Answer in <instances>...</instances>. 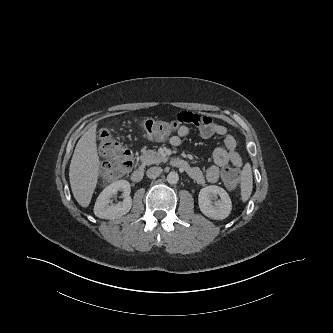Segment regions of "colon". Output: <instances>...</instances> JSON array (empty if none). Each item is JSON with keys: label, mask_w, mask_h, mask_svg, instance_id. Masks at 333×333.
Here are the masks:
<instances>
[{"label": "colon", "mask_w": 333, "mask_h": 333, "mask_svg": "<svg viewBox=\"0 0 333 333\" xmlns=\"http://www.w3.org/2000/svg\"><path fill=\"white\" fill-rule=\"evenodd\" d=\"M141 128L149 138L160 140L169 137L176 130L177 123L146 119L141 122ZM99 141L100 152L106 159L101 168L103 179L107 181L116 180L132 168L133 157L131 152L118 142L108 130L100 131ZM223 180L226 186L235 187L239 181V171L235 168H225Z\"/></svg>", "instance_id": "obj_1"}]
</instances>
